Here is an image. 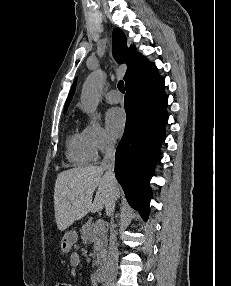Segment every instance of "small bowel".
Masks as SVG:
<instances>
[{
    "mask_svg": "<svg viewBox=\"0 0 231 286\" xmlns=\"http://www.w3.org/2000/svg\"><path fill=\"white\" fill-rule=\"evenodd\" d=\"M80 257L77 253H72L70 256V264L73 267V274H75L74 269L79 265Z\"/></svg>",
    "mask_w": 231,
    "mask_h": 286,
    "instance_id": "obj_1",
    "label": "small bowel"
}]
</instances>
